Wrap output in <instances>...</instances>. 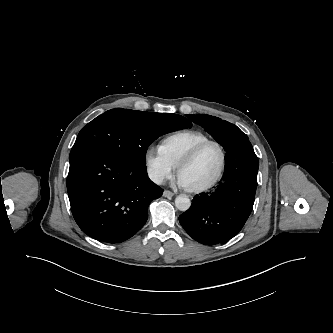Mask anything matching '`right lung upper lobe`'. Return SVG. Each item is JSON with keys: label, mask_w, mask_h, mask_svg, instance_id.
Wrapping results in <instances>:
<instances>
[{"label": "right lung upper lobe", "mask_w": 333, "mask_h": 333, "mask_svg": "<svg viewBox=\"0 0 333 333\" xmlns=\"http://www.w3.org/2000/svg\"><path fill=\"white\" fill-rule=\"evenodd\" d=\"M145 113H148L150 115H153V116H161V115H167V114H160V113H152V112H145ZM182 117V116H180ZM184 120H186L187 122L191 123L188 119L182 117Z\"/></svg>", "instance_id": "obj_1"}]
</instances>
